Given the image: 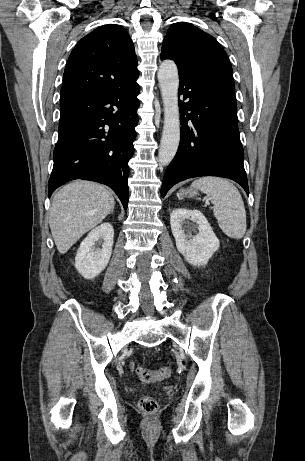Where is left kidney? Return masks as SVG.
<instances>
[{"instance_id":"1","label":"left kidney","mask_w":305,"mask_h":461,"mask_svg":"<svg viewBox=\"0 0 305 461\" xmlns=\"http://www.w3.org/2000/svg\"><path fill=\"white\" fill-rule=\"evenodd\" d=\"M170 224L177 249L189 264L204 266L219 249L218 238L199 210L175 209L170 215ZM194 229L198 234L192 235Z\"/></svg>"}]
</instances>
